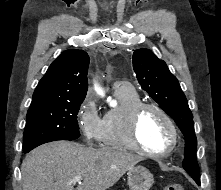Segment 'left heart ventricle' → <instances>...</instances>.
<instances>
[{
  "instance_id": "obj_1",
  "label": "left heart ventricle",
  "mask_w": 221,
  "mask_h": 190,
  "mask_svg": "<svg viewBox=\"0 0 221 190\" xmlns=\"http://www.w3.org/2000/svg\"><path fill=\"white\" fill-rule=\"evenodd\" d=\"M138 136L141 144L149 150L162 151L171 141V131L164 118L155 110H145L139 120Z\"/></svg>"
}]
</instances>
